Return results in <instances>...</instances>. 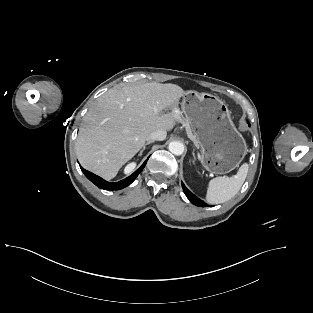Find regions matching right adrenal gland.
<instances>
[{
  "label": "right adrenal gland",
  "mask_w": 313,
  "mask_h": 313,
  "mask_svg": "<svg viewBox=\"0 0 313 313\" xmlns=\"http://www.w3.org/2000/svg\"><path fill=\"white\" fill-rule=\"evenodd\" d=\"M151 143H153V141H148V142H146V143L144 144V146L142 147V149H141V151L139 152L138 155L141 156V155L143 154V152H144L146 146L149 145V144H151Z\"/></svg>",
  "instance_id": "obj_1"
}]
</instances>
